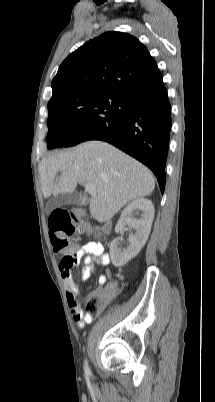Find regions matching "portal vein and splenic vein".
I'll return each mask as SVG.
<instances>
[{
    "mask_svg": "<svg viewBox=\"0 0 215 402\" xmlns=\"http://www.w3.org/2000/svg\"><path fill=\"white\" fill-rule=\"evenodd\" d=\"M84 187H85V191L88 192L89 194L94 195L96 193V188L93 184L86 183L84 185Z\"/></svg>",
    "mask_w": 215,
    "mask_h": 402,
    "instance_id": "obj_1",
    "label": "portal vein and splenic vein"
}]
</instances>
